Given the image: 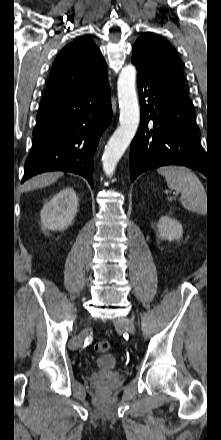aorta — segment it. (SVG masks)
Returning a JSON list of instances; mask_svg holds the SVG:
<instances>
[{"instance_id":"aorta-1","label":"aorta","mask_w":221,"mask_h":440,"mask_svg":"<svg viewBox=\"0 0 221 440\" xmlns=\"http://www.w3.org/2000/svg\"><path fill=\"white\" fill-rule=\"evenodd\" d=\"M136 68L125 66L118 78L117 91L120 108L119 126L109 139L102 157L103 169L107 176L113 175L116 165L134 138L139 122L140 108L135 89Z\"/></svg>"}]
</instances>
